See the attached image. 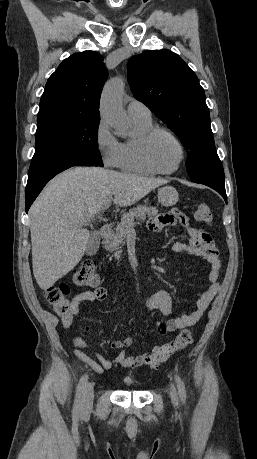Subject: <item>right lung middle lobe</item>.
Returning a JSON list of instances; mask_svg holds the SVG:
<instances>
[{
    "label": "right lung middle lobe",
    "instance_id": "obj_1",
    "mask_svg": "<svg viewBox=\"0 0 257 459\" xmlns=\"http://www.w3.org/2000/svg\"><path fill=\"white\" fill-rule=\"evenodd\" d=\"M99 117L65 111L37 115L36 148L32 161L60 155H79L103 166L98 151Z\"/></svg>",
    "mask_w": 257,
    "mask_h": 459
}]
</instances>
